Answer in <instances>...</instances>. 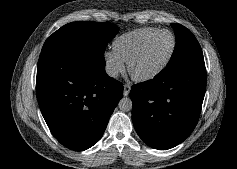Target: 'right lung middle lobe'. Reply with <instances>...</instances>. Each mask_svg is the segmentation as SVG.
<instances>
[{"instance_id":"dd1d6c3e","label":"right lung middle lobe","mask_w":237,"mask_h":169,"mask_svg":"<svg viewBox=\"0 0 237 169\" xmlns=\"http://www.w3.org/2000/svg\"><path fill=\"white\" fill-rule=\"evenodd\" d=\"M118 27L106 22H72L54 32L44 43L43 53H78L104 55L106 45Z\"/></svg>"}]
</instances>
